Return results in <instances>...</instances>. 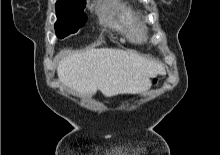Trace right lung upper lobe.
<instances>
[{"mask_svg": "<svg viewBox=\"0 0 220 155\" xmlns=\"http://www.w3.org/2000/svg\"><path fill=\"white\" fill-rule=\"evenodd\" d=\"M57 2L85 3V0H58Z\"/></svg>", "mask_w": 220, "mask_h": 155, "instance_id": "1", "label": "right lung upper lobe"}]
</instances>
